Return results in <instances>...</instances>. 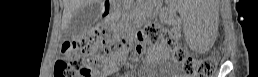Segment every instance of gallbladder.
<instances>
[{
  "mask_svg": "<svg viewBox=\"0 0 258 77\" xmlns=\"http://www.w3.org/2000/svg\"><path fill=\"white\" fill-rule=\"evenodd\" d=\"M100 13L101 5L99 4V1H94L77 10L68 25L67 30L69 35L74 36L83 33L99 18Z\"/></svg>",
  "mask_w": 258,
  "mask_h": 77,
  "instance_id": "gallbladder-1",
  "label": "gallbladder"
}]
</instances>
